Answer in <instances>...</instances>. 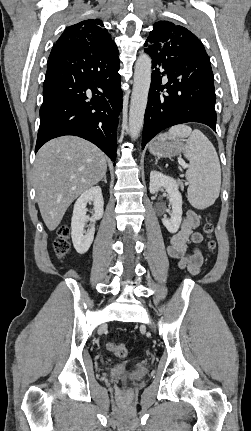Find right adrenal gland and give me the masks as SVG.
<instances>
[{
    "mask_svg": "<svg viewBox=\"0 0 251 431\" xmlns=\"http://www.w3.org/2000/svg\"><path fill=\"white\" fill-rule=\"evenodd\" d=\"M101 181H103L105 184H107V177H106V175L103 177V179Z\"/></svg>",
    "mask_w": 251,
    "mask_h": 431,
    "instance_id": "2a0ac1e0",
    "label": "right adrenal gland"
}]
</instances>
